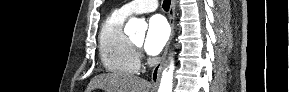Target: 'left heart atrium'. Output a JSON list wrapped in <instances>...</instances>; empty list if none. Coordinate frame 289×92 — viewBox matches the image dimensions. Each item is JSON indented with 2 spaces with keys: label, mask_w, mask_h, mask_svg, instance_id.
<instances>
[{
  "label": "left heart atrium",
  "mask_w": 289,
  "mask_h": 92,
  "mask_svg": "<svg viewBox=\"0 0 289 92\" xmlns=\"http://www.w3.org/2000/svg\"><path fill=\"white\" fill-rule=\"evenodd\" d=\"M169 37V26L161 15H154L149 19L144 48L149 55L161 52Z\"/></svg>",
  "instance_id": "39dd6f15"
}]
</instances>
